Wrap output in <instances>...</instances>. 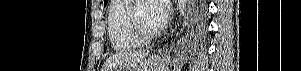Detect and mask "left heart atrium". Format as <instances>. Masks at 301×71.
<instances>
[{
    "mask_svg": "<svg viewBox=\"0 0 301 71\" xmlns=\"http://www.w3.org/2000/svg\"><path fill=\"white\" fill-rule=\"evenodd\" d=\"M153 16L158 30L162 29L168 21L171 6L168 0H151Z\"/></svg>",
    "mask_w": 301,
    "mask_h": 71,
    "instance_id": "left-heart-atrium-1",
    "label": "left heart atrium"
}]
</instances>
